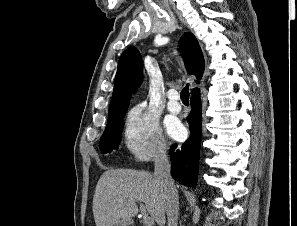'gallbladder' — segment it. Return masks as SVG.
<instances>
[{
  "mask_svg": "<svg viewBox=\"0 0 297 226\" xmlns=\"http://www.w3.org/2000/svg\"><path fill=\"white\" fill-rule=\"evenodd\" d=\"M127 223H128V220L121 219V220L117 221L116 223H114L112 226H126Z\"/></svg>",
  "mask_w": 297,
  "mask_h": 226,
  "instance_id": "1",
  "label": "gallbladder"
}]
</instances>
